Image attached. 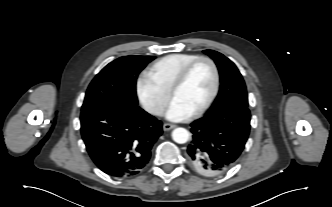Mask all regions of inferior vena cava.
<instances>
[{
    "label": "inferior vena cava",
    "instance_id": "1",
    "mask_svg": "<svg viewBox=\"0 0 332 207\" xmlns=\"http://www.w3.org/2000/svg\"><path fill=\"white\" fill-rule=\"evenodd\" d=\"M149 113L154 114V115H161L164 113V109L159 106H149L146 109Z\"/></svg>",
    "mask_w": 332,
    "mask_h": 207
}]
</instances>
